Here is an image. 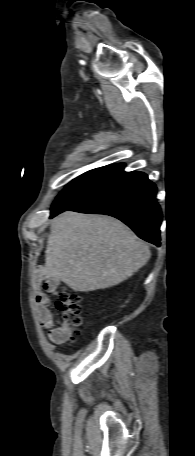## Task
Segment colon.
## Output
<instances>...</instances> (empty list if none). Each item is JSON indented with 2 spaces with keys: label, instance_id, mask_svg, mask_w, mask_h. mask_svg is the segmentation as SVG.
<instances>
[{
  "label": "colon",
  "instance_id": "5ec220e1",
  "mask_svg": "<svg viewBox=\"0 0 195 456\" xmlns=\"http://www.w3.org/2000/svg\"><path fill=\"white\" fill-rule=\"evenodd\" d=\"M81 297L80 295L72 290H62L58 301L56 302V308L60 312L61 322L69 323L73 327H77L81 324Z\"/></svg>",
  "mask_w": 195,
  "mask_h": 456
}]
</instances>
